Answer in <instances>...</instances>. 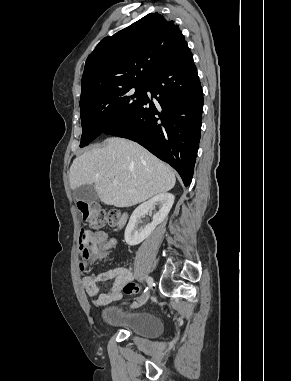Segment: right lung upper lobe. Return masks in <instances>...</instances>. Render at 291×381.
Instances as JSON below:
<instances>
[{"label":"right lung upper lobe","instance_id":"cb5924a9","mask_svg":"<svg viewBox=\"0 0 291 381\" xmlns=\"http://www.w3.org/2000/svg\"><path fill=\"white\" fill-rule=\"evenodd\" d=\"M187 48L179 26L149 13L113 36L88 56L80 104L111 88L147 83Z\"/></svg>","mask_w":291,"mask_h":381}]
</instances>
